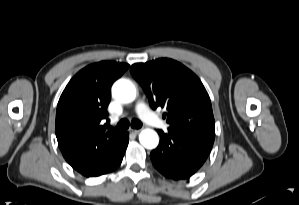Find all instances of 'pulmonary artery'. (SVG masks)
I'll return each instance as SVG.
<instances>
[{"label": "pulmonary artery", "instance_id": "obj_1", "mask_svg": "<svg viewBox=\"0 0 299 205\" xmlns=\"http://www.w3.org/2000/svg\"><path fill=\"white\" fill-rule=\"evenodd\" d=\"M135 110L141 119L147 124L157 128H164L166 126L165 123L158 118L144 102L137 103Z\"/></svg>", "mask_w": 299, "mask_h": 205}]
</instances>
